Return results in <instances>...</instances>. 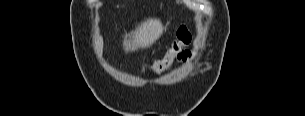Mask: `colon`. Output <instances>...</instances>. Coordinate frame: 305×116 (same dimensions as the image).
Instances as JSON below:
<instances>
[{
  "label": "colon",
  "instance_id": "obj_1",
  "mask_svg": "<svg viewBox=\"0 0 305 116\" xmlns=\"http://www.w3.org/2000/svg\"><path fill=\"white\" fill-rule=\"evenodd\" d=\"M191 42V33L187 26L181 25L177 28L175 38L167 50L165 56L157 61L152 67L151 71L157 75L169 67L176 58L184 55V47Z\"/></svg>",
  "mask_w": 305,
  "mask_h": 116
}]
</instances>
